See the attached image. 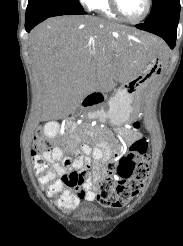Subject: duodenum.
Returning <instances> with one entry per match:
<instances>
[{
	"label": "duodenum",
	"mask_w": 183,
	"mask_h": 246,
	"mask_svg": "<svg viewBox=\"0 0 183 246\" xmlns=\"http://www.w3.org/2000/svg\"><path fill=\"white\" fill-rule=\"evenodd\" d=\"M103 101V93L100 91L90 92L83 101V106L86 109H93L94 106L99 105Z\"/></svg>",
	"instance_id": "410a0bca"
}]
</instances>
